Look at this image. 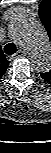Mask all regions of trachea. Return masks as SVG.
Returning <instances> with one entry per match:
<instances>
[{"label":"trachea","mask_w":51,"mask_h":153,"mask_svg":"<svg viewBox=\"0 0 51 153\" xmlns=\"http://www.w3.org/2000/svg\"><path fill=\"white\" fill-rule=\"evenodd\" d=\"M17 51V47L14 43H8L4 46V52L7 55H13Z\"/></svg>","instance_id":"obj_1"}]
</instances>
